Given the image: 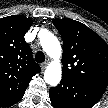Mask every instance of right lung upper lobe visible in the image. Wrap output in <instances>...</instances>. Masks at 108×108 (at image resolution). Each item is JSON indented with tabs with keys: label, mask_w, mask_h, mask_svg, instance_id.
I'll return each instance as SVG.
<instances>
[{
	"label": "right lung upper lobe",
	"mask_w": 108,
	"mask_h": 108,
	"mask_svg": "<svg viewBox=\"0 0 108 108\" xmlns=\"http://www.w3.org/2000/svg\"><path fill=\"white\" fill-rule=\"evenodd\" d=\"M32 23L22 15L0 19V104L19 98L40 71L24 39Z\"/></svg>",
	"instance_id": "right-lung-upper-lobe-1"
}]
</instances>
